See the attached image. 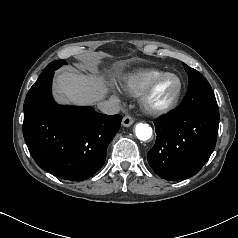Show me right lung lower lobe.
<instances>
[{
	"label": "right lung lower lobe",
	"mask_w": 238,
	"mask_h": 238,
	"mask_svg": "<svg viewBox=\"0 0 238 238\" xmlns=\"http://www.w3.org/2000/svg\"><path fill=\"white\" fill-rule=\"evenodd\" d=\"M53 74V69L43 70L26 96L24 139L39 167L65 180L82 181L103 166L122 117L57 105L51 96Z\"/></svg>",
	"instance_id": "1"
}]
</instances>
